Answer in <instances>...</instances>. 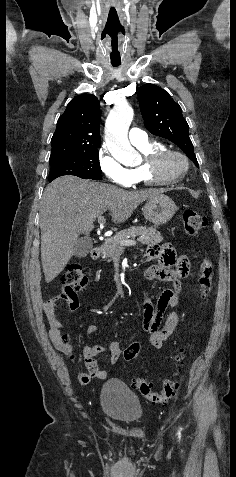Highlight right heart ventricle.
<instances>
[{
	"instance_id": "right-heart-ventricle-1",
	"label": "right heart ventricle",
	"mask_w": 236,
	"mask_h": 477,
	"mask_svg": "<svg viewBox=\"0 0 236 477\" xmlns=\"http://www.w3.org/2000/svg\"><path fill=\"white\" fill-rule=\"evenodd\" d=\"M136 147L141 152L144 159L153 152L160 149H164V146L162 144L155 141H147L141 145H137ZM128 173L131 180L130 186H134L137 184H154V182L147 177L146 172L143 168V162L137 167L128 169Z\"/></svg>"
}]
</instances>
